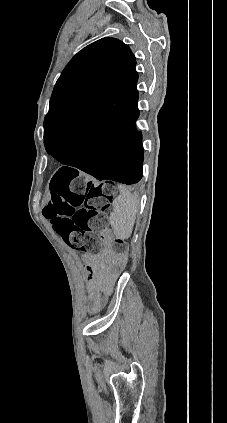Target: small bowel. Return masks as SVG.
I'll use <instances>...</instances> for the list:
<instances>
[{"mask_svg":"<svg viewBox=\"0 0 227 423\" xmlns=\"http://www.w3.org/2000/svg\"><path fill=\"white\" fill-rule=\"evenodd\" d=\"M121 267L122 262L119 257L109 253L103 255L101 270L90 290L91 294L89 297V306L92 312L97 311L102 306L104 301L101 298V292L108 284L111 283ZM88 270L91 271L90 266L88 267Z\"/></svg>","mask_w":227,"mask_h":423,"instance_id":"obj_1","label":"small bowel"}]
</instances>
